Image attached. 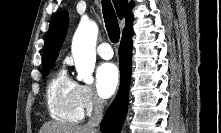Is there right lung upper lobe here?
<instances>
[{"label":"right lung upper lobe","instance_id":"right-lung-upper-lobe-1","mask_svg":"<svg viewBox=\"0 0 221 133\" xmlns=\"http://www.w3.org/2000/svg\"><path fill=\"white\" fill-rule=\"evenodd\" d=\"M117 15L120 19H126V26L123 29V35L132 32L133 15L130 13L133 3L127 0H113ZM68 27L67 11L57 13L50 23L43 48V66L54 63L61 48Z\"/></svg>","mask_w":221,"mask_h":133}]
</instances>
